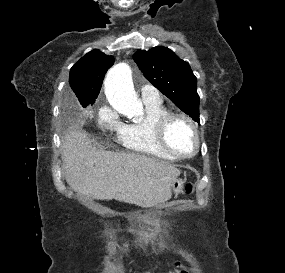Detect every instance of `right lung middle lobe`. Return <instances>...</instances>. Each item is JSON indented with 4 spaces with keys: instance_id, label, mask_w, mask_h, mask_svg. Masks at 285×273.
I'll use <instances>...</instances> for the list:
<instances>
[{
    "instance_id": "obj_1",
    "label": "right lung middle lobe",
    "mask_w": 285,
    "mask_h": 273,
    "mask_svg": "<svg viewBox=\"0 0 285 273\" xmlns=\"http://www.w3.org/2000/svg\"><path fill=\"white\" fill-rule=\"evenodd\" d=\"M91 104H93V103H91ZM87 105H89V104H85V105H83V107H86Z\"/></svg>"
}]
</instances>
